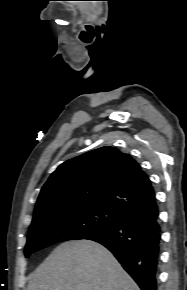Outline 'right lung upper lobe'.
<instances>
[{
    "mask_svg": "<svg viewBox=\"0 0 187 290\" xmlns=\"http://www.w3.org/2000/svg\"><path fill=\"white\" fill-rule=\"evenodd\" d=\"M102 205L124 217L158 209L148 176L128 154L112 147L61 164L42 187L33 221L56 212Z\"/></svg>",
    "mask_w": 187,
    "mask_h": 290,
    "instance_id": "obj_1",
    "label": "right lung upper lobe"
}]
</instances>
